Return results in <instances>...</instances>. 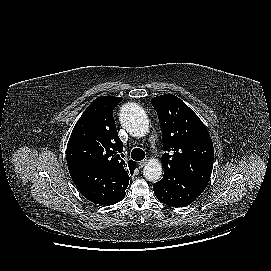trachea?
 Returning <instances> with one entry per match:
<instances>
[{"label":"trachea","mask_w":271,"mask_h":271,"mask_svg":"<svg viewBox=\"0 0 271 271\" xmlns=\"http://www.w3.org/2000/svg\"><path fill=\"white\" fill-rule=\"evenodd\" d=\"M131 158L136 161H141L145 158V152L140 148H134L131 152Z\"/></svg>","instance_id":"3493384b"}]
</instances>
